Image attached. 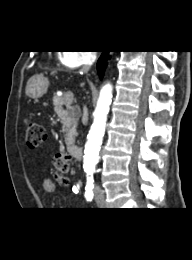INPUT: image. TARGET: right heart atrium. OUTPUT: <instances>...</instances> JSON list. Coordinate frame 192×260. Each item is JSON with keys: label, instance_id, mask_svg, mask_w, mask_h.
<instances>
[{"label": "right heart atrium", "instance_id": "1", "mask_svg": "<svg viewBox=\"0 0 192 260\" xmlns=\"http://www.w3.org/2000/svg\"><path fill=\"white\" fill-rule=\"evenodd\" d=\"M91 52L87 51H63L59 54L60 63L69 69H76L88 64L92 60Z\"/></svg>", "mask_w": 192, "mask_h": 260}]
</instances>
